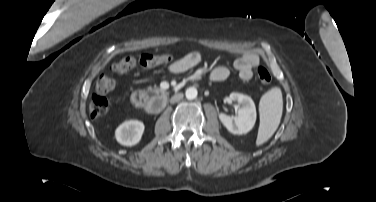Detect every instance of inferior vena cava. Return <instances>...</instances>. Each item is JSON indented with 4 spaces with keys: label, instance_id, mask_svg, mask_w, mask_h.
Wrapping results in <instances>:
<instances>
[{
    "label": "inferior vena cava",
    "instance_id": "602c4592",
    "mask_svg": "<svg viewBox=\"0 0 376 202\" xmlns=\"http://www.w3.org/2000/svg\"><path fill=\"white\" fill-rule=\"evenodd\" d=\"M183 98V94H176L173 98H172V102H177L179 100H181Z\"/></svg>",
    "mask_w": 376,
    "mask_h": 202
}]
</instances>
